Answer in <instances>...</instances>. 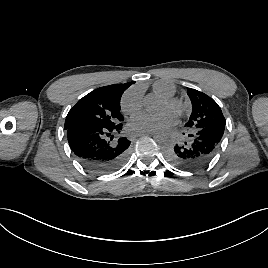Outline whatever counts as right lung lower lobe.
<instances>
[{"label":"right lung lower lobe","mask_w":268,"mask_h":268,"mask_svg":"<svg viewBox=\"0 0 268 268\" xmlns=\"http://www.w3.org/2000/svg\"><path fill=\"white\" fill-rule=\"evenodd\" d=\"M122 126H70L66 129L69 146L85 168L95 173L116 171L125 162L131 143L119 135Z\"/></svg>","instance_id":"right-lung-lower-lobe-1"}]
</instances>
